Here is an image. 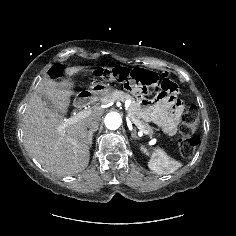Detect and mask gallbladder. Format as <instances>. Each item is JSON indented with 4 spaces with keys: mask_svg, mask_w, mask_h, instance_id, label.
<instances>
[{
    "mask_svg": "<svg viewBox=\"0 0 236 236\" xmlns=\"http://www.w3.org/2000/svg\"><path fill=\"white\" fill-rule=\"evenodd\" d=\"M41 100L46 104L47 108L50 110L56 111L54 105L48 100V98L45 95H40Z\"/></svg>",
    "mask_w": 236,
    "mask_h": 236,
    "instance_id": "bac80fb5",
    "label": "gallbladder"
}]
</instances>
